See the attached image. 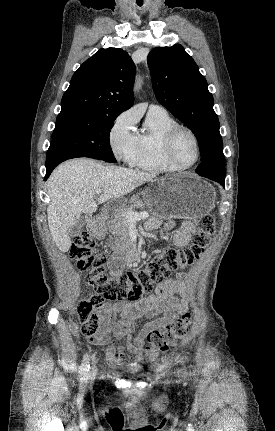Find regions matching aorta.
Returning a JSON list of instances; mask_svg holds the SVG:
<instances>
[{"instance_id": "1", "label": "aorta", "mask_w": 275, "mask_h": 431, "mask_svg": "<svg viewBox=\"0 0 275 431\" xmlns=\"http://www.w3.org/2000/svg\"><path fill=\"white\" fill-rule=\"evenodd\" d=\"M139 87V83L136 84L135 89H137Z\"/></svg>"}]
</instances>
